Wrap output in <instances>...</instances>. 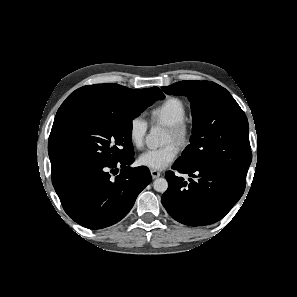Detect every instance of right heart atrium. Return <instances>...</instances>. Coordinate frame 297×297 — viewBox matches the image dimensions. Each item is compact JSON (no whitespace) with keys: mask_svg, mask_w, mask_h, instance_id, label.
<instances>
[{"mask_svg":"<svg viewBox=\"0 0 297 297\" xmlns=\"http://www.w3.org/2000/svg\"><path fill=\"white\" fill-rule=\"evenodd\" d=\"M148 130L147 121L140 115L134 116L128 124V136L131 144L136 148H142Z\"/></svg>","mask_w":297,"mask_h":297,"instance_id":"d8ad5b80","label":"right heart atrium"}]
</instances>
